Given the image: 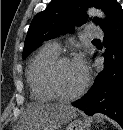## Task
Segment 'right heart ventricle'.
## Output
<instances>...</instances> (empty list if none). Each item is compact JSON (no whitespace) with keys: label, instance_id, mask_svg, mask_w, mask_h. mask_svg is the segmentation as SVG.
Instances as JSON below:
<instances>
[{"label":"right heart ventricle","instance_id":"e07e8e85","mask_svg":"<svg viewBox=\"0 0 123 130\" xmlns=\"http://www.w3.org/2000/svg\"><path fill=\"white\" fill-rule=\"evenodd\" d=\"M58 55L59 51L45 44L39 48L29 64L27 80L32 98L38 102H52L57 99L50 89L48 72Z\"/></svg>","mask_w":123,"mask_h":130}]
</instances>
